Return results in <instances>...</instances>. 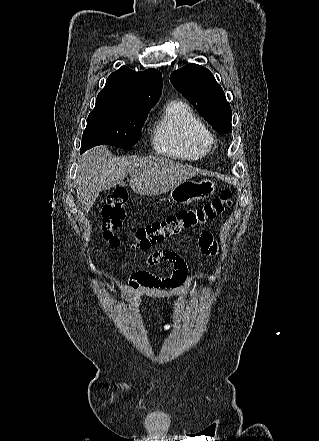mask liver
Returning a JSON list of instances; mask_svg holds the SVG:
<instances>
[{"instance_id": "obj_1", "label": "liver", "mask_w": 319, "mask_h": 441, "mask_svg": "<svg viewBox=\"0 0 319 441\" xmlns=\"http://www.w3.org/2000/svg\"><path fill=\"white\" fill-rule=\"evenodd\" d=\"M199 170L165 157H115L107 146L87 151L79 164L77 201L86 213L103 190L123 184L130 175V188L137 194L156 196L170 191Z\"/></svg>"}]
</instances>
